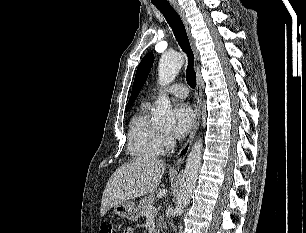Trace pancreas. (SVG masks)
I'll return each mask as SVG.
<instances>
[{
	"label": "pancreas",
	"mask_w": 306,
	"mask_h": 233,
	"mask_svg": "<svg viewBox=\"0 0 306 233\" xmlns=\"http://www.w3.org/2000/svg\"><path fill=\"white\" fill-rule=\"evenodd\" d=\"M154 201H155L154 194H151L150 196L145 197V198H143L139 201L138 208H139V211H140V215L142 217H147L148 216V213H147L148 208L154 204ZM162 221H163V218L160 217L159 223L157 224V229H156L155 233H160V230L163 231L164 226H162L161 223H160Z\"/></svg>",
	"instance_id": "obj_1"
}]
</instances>
